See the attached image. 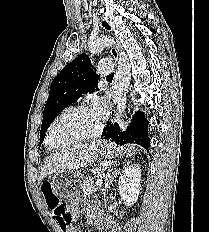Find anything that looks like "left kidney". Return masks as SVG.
<instances>
[{
  "label": "left kidney",
  "mask_w": 209,
  "mask_h": 232,
  "mask_svg": "<svg viewBox=\"0 0 209 232\" xmlns=\"http://www.w3.org/2000/svg\"><path fill=\"white\" fill-rule=\"evenodd\" d=\"M141 171L138 165H129L119 177V194L125 204H134L140 194Z\"/></svg>",
  "instance_id": "obj_1"
}]
</instances>
